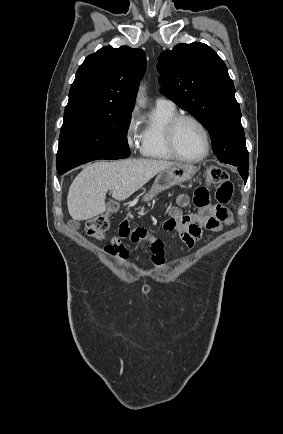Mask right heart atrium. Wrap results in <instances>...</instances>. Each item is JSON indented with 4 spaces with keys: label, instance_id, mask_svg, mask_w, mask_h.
Wrapping results in <instances>:
<instances>
[{
    "label": "right heart atrium",
    "instance_id": "1",
    "mask_svg": "<svg viewBox=\"0 0 283 434\" xmlns=\"http://www.w3.org/2000/svg\"><path fill=\"white\" fill-rule=\"evenodd\" d=\"M140 138L139 129L137 125L136 116L133 113L125 128V140L129 148H135L138 146V140Z\"/></svg>",
    "mask_w": 283,
    "mask_h": 434
}]
</instances>
